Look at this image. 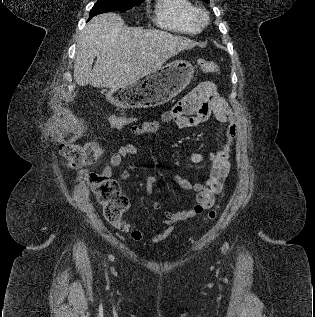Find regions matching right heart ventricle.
<instances>
[{
  "mask_svg": "<svg viewBox=\"0 0 315 317\" xmlns=\"http://www.w3.org/2000/svg\"><path fill=\"white\" fill-rule=\"evenodd\" d=\"M195 6L191 0H156L154 22L159 27L178 33L196 34Z\"/></svg>",
  "mask_w": 315,
  "mask_h": 317,
  "instance_id": "right-heart-ventricle-1",
  "label": "right heart ventricle"
}]
</instances>
